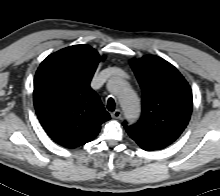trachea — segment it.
Segmentation results:
<instances>
[{
	"mask_svg": "<svg viewBox=\"0 0 220 196\" xmlns=\"http://www.w3.org/2000/svg\"><path fill=\"white\" fill-rule=\"evenodd\" d=\"M107 109L109 111H114L115 110V101L113 98H109L107 101Z\"/></svg>",
	"mask_w": 220,
	"mask_h": 196,
	"instance_id": "obj_1",
	"label": "trachea"
}]
</instances>
